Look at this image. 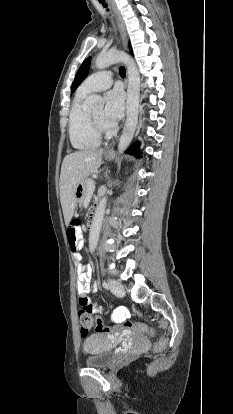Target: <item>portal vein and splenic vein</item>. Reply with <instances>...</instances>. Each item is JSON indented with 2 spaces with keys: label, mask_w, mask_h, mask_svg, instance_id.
<instances>
[{
  "label": "portal vein and splenic vein",
  "mask_w": 233,
  "mask_h": 414,
  "mask_svg": "<svg viewBox=\"0 0 233 414\" xmlns=\"http://www.w3.org/2000/svg\"><path fill=\"white\" fill-rule=\"evenodd\" d=\"M88 187L91 191H93L95 189V182L94 181L88 182Z\"/></svg>",
  "instance_id": "obj_1"
}]
</instances>
